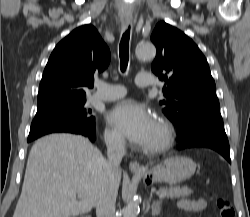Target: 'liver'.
<instances>
[{
	"label": "liver",
	"instance_id": "liver-1",
	"mask_svg": "<svg viewBox=\"0 0 250 217\" xmlns=\"http://www.w3.org/2000/svg\"><path fill=\"white\" fill-rule=\"evenodd\" d=\"M105 163L100 150L83 136L52 134L39 139L30 150L13 217L90 212L97 205Z\"/></svg>",
	"mask_w": 250,
	"mask_h": 217
}]
</instances>
